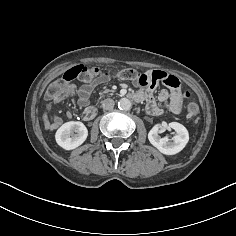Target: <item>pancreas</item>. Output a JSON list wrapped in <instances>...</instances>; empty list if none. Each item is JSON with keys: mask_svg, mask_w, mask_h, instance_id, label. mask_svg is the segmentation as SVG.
Segmentation results:
<instances>
[{"mask_svg": "<svg viewBox=\"0 0 236 236\" xmlns=\"http://www.w3.org/2000/svg\"><path fill=\"white\" fill-rule=\"evenodd\" d=\"M109 93H114V90H110V89H105L104 91H101L100 97H103L105 94H109Z\"/></svg>", "mask_w": 236, "mask_h": 236, "instance_id": "1", "label": "pancreas"}]
</instances>
